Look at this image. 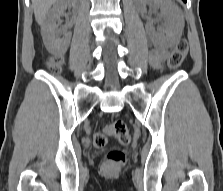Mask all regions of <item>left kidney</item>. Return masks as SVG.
Returning <instances> with one entry per match:
<instances>
[{"label": "left kidney", "instance_id": "obj_1", "mask_svg": "<svg viewBox=\"0 0 223 191\" xmlns=\"http://www.w3.org/2000/svg\"><path fill=\"white\" fill-rule=\"evenodd\" d=\"M138 9L144 13L147 6L151 8H160L161 17L165 23L157 29L148 23L146 30L149 38L155 45L164 47L172 46L181 36L184 21L181 11L170 0H136Z\"/></svg>", "mask_w": 223, "mask_h": 191}]
</instances>
